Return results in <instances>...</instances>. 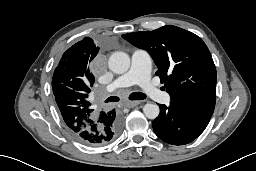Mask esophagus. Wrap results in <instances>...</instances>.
Segmentation results:
<instances>
[{
    "label": "esophagus",
    "instance_id": "1",
    "mask_svg": "<svg viewBox=\"0 0 256 171\" xmlns=\"http://www.w3.org/2000/svg\"><path fill=\"white\" fill-rule=\"evenodd\" d=\"M140 103H141L140 101H128L126 103V106L128 108H134V107L138 106Z\"/></svg>",
    "mask_w": 256,
    "mask_h": 171
}]
</instances>
